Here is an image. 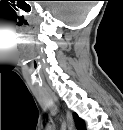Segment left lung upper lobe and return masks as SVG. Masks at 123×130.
I'll use <instances>...</instances> for the list:
<instances>
[{"instance_id": "obj_1", "label": "left lung upper lobe", "mask_w": 123, "mask_h": 130, "mask_svg": "<svg viewBox=\"0 0 123 130\" xmlns=\"http://www.w3.org/2000/svg\"><path fill=\"white\" fill-rule=\"evenodd\" d=\"M74 120H75L76 127L79 130H85L84 121L82 119H80L76 113H74Z\"/></svg>"}]
</instances>
